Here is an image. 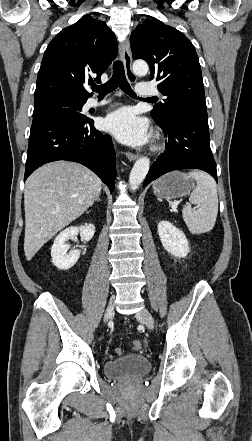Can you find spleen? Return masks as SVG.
Returning a JSON list of instances; mask_svg holds the SVG:
<instances>
[{
    "label": "spleen",
    "mask_w": 252,
    "mask_h": 441,
    "mask_svg": "<svg viewBox=\"0 0 252 441\" xmlns=\"http://www.w3.org/2000/svg\"><path fill=\"white\" fill-rule=\"evenodd\" d=\"M185 175L196 180L197 186L189 200L198 209L185 206L182 210L183 219L192 234L209 232L214 227L218 214L216 182L203 171L195 170Z\"/></svg>",
    "instance_id": "obj_1"
}]
</instances>
